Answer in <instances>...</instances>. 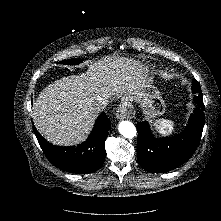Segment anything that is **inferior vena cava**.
<instances>
[{"label": "inferior vena cava", "instance_id": "602c4592", "mask_svg": "<svg viewBox=\"0 0 221 221\" xmlns=\"http://www.w3.org/2000/svg\"><path fill=\"white\" fill-rule=\"evenodd\" d=\"M97 102L99 103L100 107L103 108L107 105L108 100L104 97L98 96Z\"/></svg>", "mask_w": 221, "mask_h": 221}]
</instances>
